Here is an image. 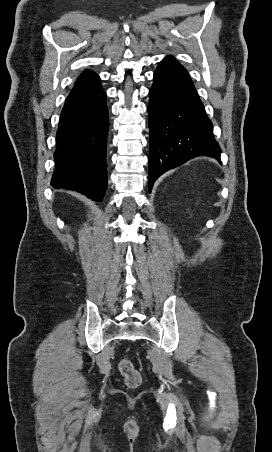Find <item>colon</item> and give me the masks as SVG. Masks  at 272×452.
<instances>
[{
    "label": "colon",
    "mask_w": 272,
    "mask_h": 452,
    "mask_svg": "<svg viewBox=\"0 0 272 452\" xmlns=\"http://www.w3.org/2000/svg\"><path fill=\"white\" fill-rule=\"evenodd\" d=\"M118 368L129 388L135 389L140 385L141 375L129 359H122Z\"/></svg>",
    "instance_id": "colon-1"
}]
</instances>
